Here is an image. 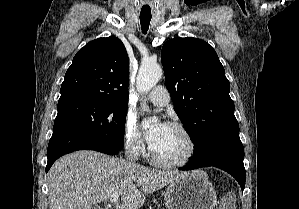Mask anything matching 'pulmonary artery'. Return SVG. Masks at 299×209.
I'll list each match as a JSON object with an SVG mask.
<instances>
[{"mask_svg":"<svg viewBox=\"0 0 299 209\" xmlns=\"http://www.w3.org/2000/svg\"><path fill=\"white\" fill-rule=\"evenodd\" d=\"M147 99L156 106H166L170 101V95L164 86L158 85L147 94Z\"/></svg>","mask_w":299,"mask_h":209,"instance_id":"pulmonary-artery-1","label":"pulmonary artery"}]
</instances>
